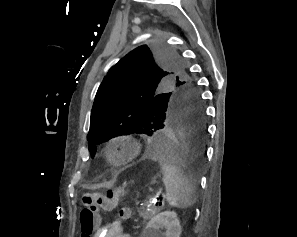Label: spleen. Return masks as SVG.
<instances>
[{
	"instance_id": "spleen-1",
	"label": "spleen",
	"mask_w": 297,
	"mask_h": 237,
	"mask_svg": "<svg viewBox=\"0 0 297 237\" xmlns=\"http://www.w3.org/2000/svg\"><path fill=\"white\" fill-rule=\"evenodd\" d=\"M159 162L163 172V184L168 204L181 209L193 206L195 186L192 181L183 174L180 167H174L172 161L160 158Z\"/></svg>"
}]
</instances>
